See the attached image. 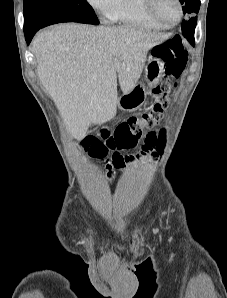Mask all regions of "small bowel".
I'll use <instances>...</instances> for the list:
<instances>
[{
    "label": "small bowel",
    "mask_w": 227,
    "mask_h": 298,
    "mask_svg": "<svg viewBox=\"0 0 227 298\" xmlns=\"http://www.w3.org/2000/svg\"><path fill=\"white\" fill-rule=\"evenodd\" d=\"M85 138L86 139H80L79 142H76L75 146L81 147V150L85 151V154L88 158L104 159L105 167L107 170L106 177L108 182L110 183L116 179V176L119 172H124L126 170L127 165L133 159L139 157L123 156L119 154L117 150H112L111 155L108 156V151L110 150V147L107 146V142H105V139H94V134H86ZM143 150L147 151L149 149Z\"/></svg>",
    "instance_id": "obj_1"
}]
</instances>
